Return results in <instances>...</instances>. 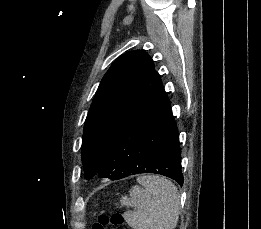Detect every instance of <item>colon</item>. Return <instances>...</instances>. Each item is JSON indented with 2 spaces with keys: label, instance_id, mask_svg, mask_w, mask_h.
Segmentation results:
<instances>
[{
  "label": "colon",
  "instance_id": "obj_1",
  "mask_svg": "<svg viewBox=\"0 0 261 229\" xmlns=\"http://www.w3.org/2000/svg\"><path fill=\"white\" fill-rule=\"evenodd\" d=\"M123 223V217L117 212H114L111 216L107 214H101L98 217L97 222H95L91 229H106L107 227L111 229H119Z\"/></svg>",
  "mask_w": 261,
  "mask_h": 229
}]
</instances>
